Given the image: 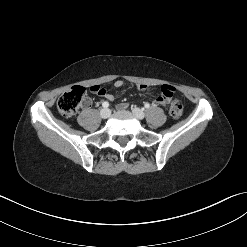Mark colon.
<instances>
[{"mask_svg":"<svg viewBox=\"0 0 247 247\" xmlns=\"http://www.w3.org/2000/svg\"><path fill=\"white\" fill-rule=\"evenodd\" d=\"M141 83L138 82L132 86L134 89L138 88L140 90L142 88V90L139 92V97H144V95L147 93V95L155 97L157 103L164 104L165 97H171L174 95V90L172 86H156L155 88L151 86L149 88L147 85H145L146 82L144 80ZM100 87L102 86L99 85L95 88L91 87V90ZM85 96L86 89L84 87L76 86L71 88L69 91L60 96V98L57 101V108L59 113L66 118L74 116L77 113L81 104L84 102ZM169 113L173 119H179L182 116L183 103L180 99L173 98L171 100Z\"/></svg>","mask_w":247,"mask_h":247,"instance_id":"obj_1","label":"colon"}]
</instances>
